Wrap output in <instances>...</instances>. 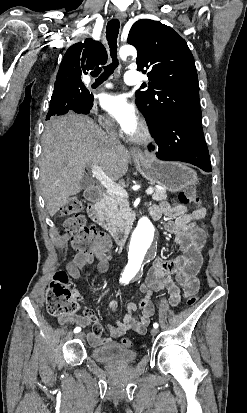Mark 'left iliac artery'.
Masks as SVG:
<instances>
[{
    "instance_id": "obj_1",
    "label": "left iliac artery",
    "mask_w": 247,
    "mask_h": 413,
    "mask_svg": "<svg viewBox=\"0 0 247 413\" xmlns=\"http://www.w3.org/2000/svg\"><path fill=\"white\" fill-rule=\"evenodd\" d=\"M153 327H154V328H158V323H154V324H153Z\"/></svg>"
}]
</instances>
